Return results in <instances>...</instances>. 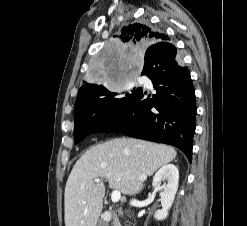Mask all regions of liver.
I'll list each match as a JSON object with an SVG mask.
<instances>
[{
    "label": "liver",
    "instance_id": "6515ba94",
    "mask_svg": "<svg viewBox=\"0 0 247 226\" xmlns=\"http://www.w3.org/2000/svg\"><path fill=\"white\" fill-rule=\"evenodd\" d=\"M173 147L133 138H114L90 147L75 163L64 194L65 226H96L103 208L106 179L124 195L143 189L147 176L173 161Z\"/></svg>",
    "mask_w": 247,
    "mask_h": 226
}]
</instances>
